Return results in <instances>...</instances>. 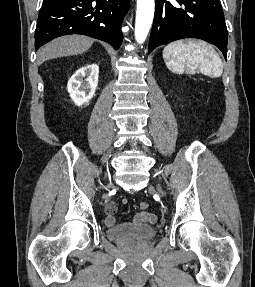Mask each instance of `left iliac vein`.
<instances>
[{
    "instance_id": "4c4485c4",
    "label": "left iliac vein",
    "mask_w": 255,
    "mask_h": 287,
    "mask_svg": "<svg viewBox=\"0 0 255 287\" xmlns=\"http://www.w3.org/2000/svg\"><path fill=\"white\" fill-rule=\"evenodd\" d=\"M158 191H159V193L161 194V195H163L164 194V192H163V190H162V188L158 185Z\"/></svg>"
}]
</instances>
